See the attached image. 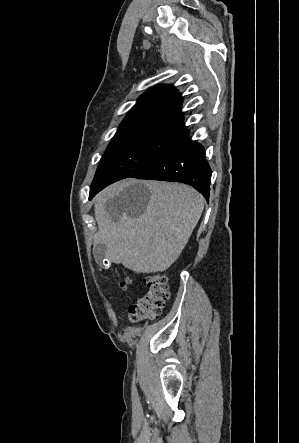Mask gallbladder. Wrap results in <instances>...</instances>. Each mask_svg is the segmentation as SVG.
<instances>
[{
  "label": "gallbladder",
  "instance_id": "1",
  "mask_svg": "<svg viewBox=\"0 0 299 443\" xmlns=\"http://www.w3.org/2000/svg\"><path fill=\"white\" fill-rule=\"evenodd\" d=\"M107 247L104 244H96L93 248V254L96 262L103 265L106 256Z\"/></svg>",
  "mask_w": 299,
  "mask_h": 443
}]
</instances>
